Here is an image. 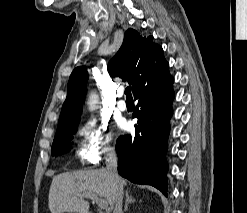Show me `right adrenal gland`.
Wrapping results in <instances>:
<instances>
[{
	"mask_svg": "<svg viewBox=\"0 0 247 213\" xmlns=\"http://www.w3.org/2000/svg\"><path fill=\"white\" fill-rule=\"evenodd\" d=\"M129 193H130V192H129L128 190H127L126 193H125L126 203H125L124 211H127V210H128V205H129L130 203L135 202V199H134L132 196H130Z\"/></svg>",
	"mask_w": 247,
	"mask_h": 213,
	"instance_id": "1",
	"label": "right adrenal gland"
}]
</instances>
